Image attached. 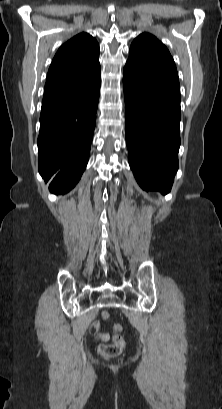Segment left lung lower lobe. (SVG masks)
I'll return each instance as SVG.
<instances>
[{
  "mask_svg": "<svg viewBox=\"0 0 222 409\" xmlns=\"http://www.w3.org/2000/svg\"><path fill=\"white\" fill-rule=\"evenodd\" d=\"M128 160L144 190L170 191L178 169L180 98L123 76Z\"/></svg>",
  "mask_w": 222,
  "mask_h": 409,
  "instance_id": "1",
  "label": "left lung lower lobe"
}]
</instances>
